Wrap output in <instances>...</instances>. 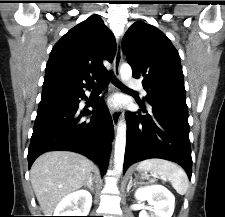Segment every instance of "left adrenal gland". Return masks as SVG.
<instances>
[{
	"instance_id": "1",
	"label": "left adrenal gland",
	"mask_w": 225,
	"mask_h": 217,
	"mask_svg": "<svg viewBox=\"0 0 225 217\" xmlns=\"http://www.w3.org/2000/svg\"><path fill=\"white\" fill-rule=\"evenodd\" d=\"M133 186V182H132V176L130 177V181L127 185V192H129V190L131 189V187Z\"/></svg>"
}]
</instances>
